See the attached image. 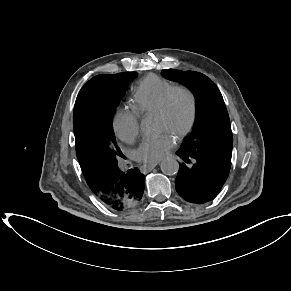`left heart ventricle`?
Instances as JSON below:
<instances>
[{
    "mask_svg": "<svg viewBox=\"0 0 291 291\" xmlns=\"http://www.w3.org/2000/svg\"><path fill=\"white\" fill-rule=\"evenodd\" d=\"M189 109L188 103L184 96L177 97V106L170 121L156 117L157 125L160 131H169L181 128L188 120Z\"/></svg>",
    "mask_w": 291,
    "mask_h": 291,
    "instance_id": "obj_1",
    "label": "left heart ventricle"
}]
</instances>
